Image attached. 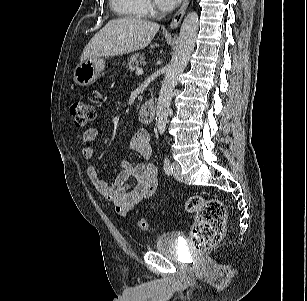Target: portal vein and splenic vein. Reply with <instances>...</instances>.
Segmentation results:
<instances>
[{
    "instance_id": "portal-vein-and-splenic-vein-1",
    "label": "portal vein and splenic vein",
    "mask_w": 307,
    "mask_h": 301,
    "mask_svg": "<svg viewBox=\"0 0 307 301\" xmlns=\"http://www.w3.org/2000/svg\"><path fill=\"white\" fill-rule=\"evenodd\" d=\"M136 73H137V75L143 74V69H142L141 67H138V68L136 69Z\"/></svg>"
}]
</instances>
